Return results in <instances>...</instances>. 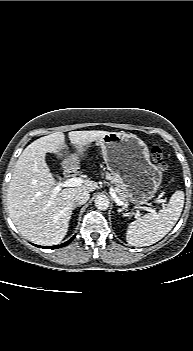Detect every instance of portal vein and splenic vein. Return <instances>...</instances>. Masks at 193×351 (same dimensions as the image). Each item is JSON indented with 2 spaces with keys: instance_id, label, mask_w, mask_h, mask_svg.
Masks as SVG:
<instances>
[{
  "instance_id": "portal-vein-and-splenic-vein-1",
  "label": "portal vein and splenic vein",
  "mask_w": 193,
  "mask_h": 351,
  "mask_svg": "<svg viewBox=\"0 0 193 351\" xmlns=\"http://www.w3.org/2000/svg\"><path fill=\"white\" fill-rule=\"evenodd\" d=\"M83 183V180L82 178L80 177H73V178H69L63 182H58L57 183V186L54 188L53 190V194L56 195L57 193H59L61 191L62 188H66V187H75V186H79ZM110 195L111 197L114 199L115 203L117 205H120V206H127L123 201H121L115 190L113 188H110ZM158 202L160 203H164L165 201L164 200H159ZM146 210L148 211H153L151 210L150 208H146Z\"/></svg>"
}]
</instances>
